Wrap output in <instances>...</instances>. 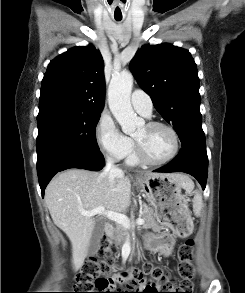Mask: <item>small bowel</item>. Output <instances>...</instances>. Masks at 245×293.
<instances>
[{
	"label": "small bowel",
	"mask_w": 245,
	"mask_h": 293,
	"mask_svg": "<svg viewBox=\"0 0 245 293\" xmlns=\"http://www.w3.org/2000/svg\"><path fill=\"white\" fill-rule=\"evenodd\" d=\"M161 245L159 251L163 256H168L171 253L173 245V237L169 232L163 233L160 237Z\"/></svg>",
	"instance_id": "obj_1"
}]
</instances>
